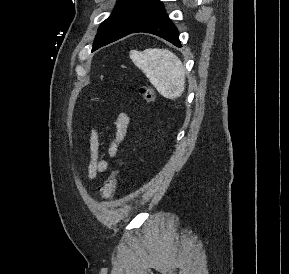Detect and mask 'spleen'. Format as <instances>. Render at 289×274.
<instances>
[{"label": "spleen", "instance_id": "obj_1", "mask_svg": "<svg viewBox=\"0 0 289 274\" xmlns=\"http://www.w3.org/2000/svg\"><path fill=\"white\" fill-rule=\"evenodd\" d=\"M130 58L165 98L176 99L185 89V69L181 60L167 49L132 51Z\"/></svg>", "mask_w": 289, "mask_h": 274}]
</instances>
